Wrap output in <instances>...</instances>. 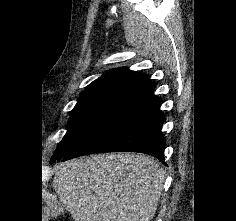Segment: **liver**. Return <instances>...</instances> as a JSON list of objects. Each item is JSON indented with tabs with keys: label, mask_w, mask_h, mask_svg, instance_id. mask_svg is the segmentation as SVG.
Segmentation results:
<instances>
[{
	"label": "liver",
	"mask_w": 236,
	"mask_h": 221,
	"mask_svg": "<svg viewBox=\"0 0 236 221\" xmlns=\"http://www.w3.org/2000/svg\"><path fill=\"white\" fill-rule=\"evenodd\" d=\"M164 179L149 156L101 154L62 164L53 188L75 221H151Z\"/></svg>",
	"instance_id": "liver-1"
}]
</instances>
